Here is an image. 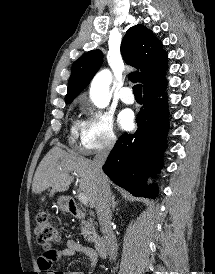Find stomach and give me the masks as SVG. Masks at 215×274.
Returning <instances> with one entry per match:
<instances>
[{
	"mask_svg": "<svg viewBox=\"0 0 215 274\" xmlns=\"http://www.w3.org/2000/svg\"><path fill=\"white\" fill-rule=\"evenodd\" d=\"M58 205H59L60 209L66 211L67 210L66 198L65 197H60L58 199Z\"/></svg>",
	"mask_w": 215,
	"mask_h": 274,
	"instance_id": "0dacf381",
	"label": "stomach"
}]
</instances>
